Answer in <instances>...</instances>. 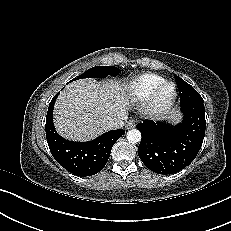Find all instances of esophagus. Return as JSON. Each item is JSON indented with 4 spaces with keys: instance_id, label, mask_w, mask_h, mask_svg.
<instances>
[{
    "instance_id": "34e87169",
    "label": "esophagus",
    "mask_w": 231,
    "mask_h": 231,
    "mask_svg": "<svg viewBox=\"0 0 231 231\" xmlns=\"http://www.w3.org/2000/svg\"><path fill=\"white\" fill-rule=\"evenodd\" d=\"M136 125L135 121L134 120H129L126 124V129H131V128H134Z\"/></svg>"
}]
</instances>
